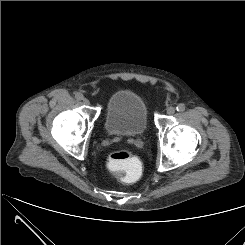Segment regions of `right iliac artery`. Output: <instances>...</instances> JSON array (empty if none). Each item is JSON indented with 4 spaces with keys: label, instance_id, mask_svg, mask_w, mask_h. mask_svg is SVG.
I'll use <instances>...</instances> for the list:
<instances>
[{
    "label": "right iliac artery",
    "instance_id": "82829eb1",
    "mask_svg": "<svg viewBox=\"0 0 245 245\" xmlns=\"http://www.w3.org/2000/svg\"><path fill=\"white\" fill-rule=\"evenodd\" d=\"M75 98H76L77 100H82L84 97H83V95H82L81 93H77V94L75 95Z\"/></svg>",
    "mask_w": 245,
    "mask_h": 245
}]
</instances>
